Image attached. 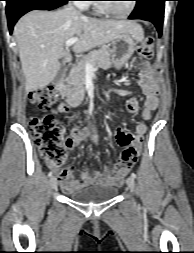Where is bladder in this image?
<instances>
[{
	"label": "bladder",
	"mask_w": 194,
	"mask_h": 253,
	"mask_svg": "<svg viewBox=\"0 0 194 253\" xmlns=\"http://www.w3.org/2000/svg\"><path fill=\"white\" fill-rule=\"evenodd\" d=\"M117 193L118 190L113 185L94 184L73 191L69 197L80 204H99L112 200Z\"/></svg>",
	"instance_id": "1"
}]
</instances>
